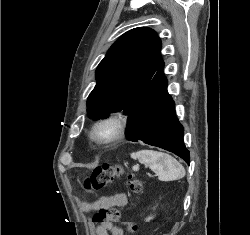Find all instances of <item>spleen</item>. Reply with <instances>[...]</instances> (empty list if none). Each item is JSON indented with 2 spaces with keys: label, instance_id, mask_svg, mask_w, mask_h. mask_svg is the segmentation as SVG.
Instances as JSON below:
<instances>
[{
  "label": "spleen",
  "instance_id": "3e777b00",
  "mask_svg": "<svg viewBox=\"0 0 250 235\" xmlns=\"http://www.w3.org/2000/svg\"><path fill=\"white\" fill-rule=\"evenodd\" d=\"M155 172L162 181H173L185 176L183 165L169 154L153 150H141L131 155Z\"/></svg>",
  "mask_w": 250,
  "mask_h": 235
}]
</instances>
